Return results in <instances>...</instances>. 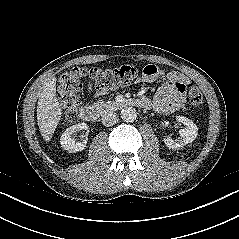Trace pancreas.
Masks as SVG:
<instances>
[{
	"instance_id": "obj_1",
	"label": "pancreas",
	"mask_w": 239,
	"mask_h": 239,
	"mask_svg": "<svg viewBox=\"0 0 239 239\" xmlns=\"http://www.w3.org/2000/svg\"><path fill=\"white\" fill-rule=\"evenodd\" d=\"M115 102L113 101H97L94 103V107L98 110H104V109H109L112 105H114Z\"/></svg>"
}]
</instances>
